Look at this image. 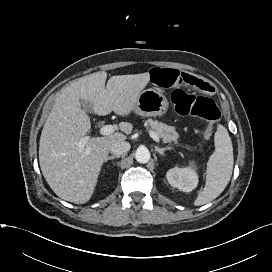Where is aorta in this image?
<instances>
[{"mask_svg":"<svg viewBox=\"0 0 272 272\" xmlns=\"http://www.w3.org/2000/svg\"><path fill=\"white\" fill-rule=\"evenodd\" d=\"M151 154L146 147H139L135 152V159L137 162L145 164L149 162Z\"/></svg>","mask_w":272,"mask_h":272,"instance_id":"obj_1","label":"aorta"}]
</instances>
